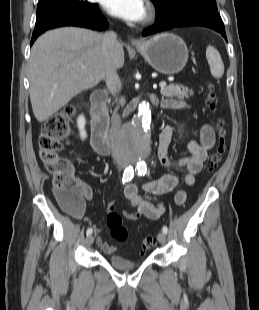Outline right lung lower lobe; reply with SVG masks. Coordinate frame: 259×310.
<instances>
[{"label": "right lung lower lobe", "mask_w": 259, "mask_h": 310, "mask_svg": "<svg viewBox=\"0 0 259 310\" xmlns=\"http://www.w3.org/2000/svg\"><path fill=\"white\" fill-rule=\"evenodd\" d=\"M62 26H79L93 30H103L108 27V23L97 4L89 11L80 14L51 16L35 25L31 45L45 31Z\"/></svg>", "instance_id": "98d812e1"}]
</instances>
